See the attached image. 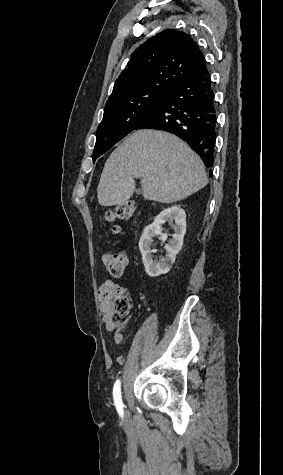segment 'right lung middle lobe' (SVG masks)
<instances>
[{"label":"right lung middle lobe","instance_id":"right-lung-middle-lobe-1","mask_svg":"<svg viewBox=\"0 0 283 475\" xmlns=\"http://www.w3.org/2000/svg\"><path fill=\"white\" fill-rule=\"evenodd\" d=\"M168 93L166 91L150 92L128 100L106 104L103 120L96 133L93 162L132 132Z\"/></svg>","mask_w":283,"mask_h":475}]
</instances>
